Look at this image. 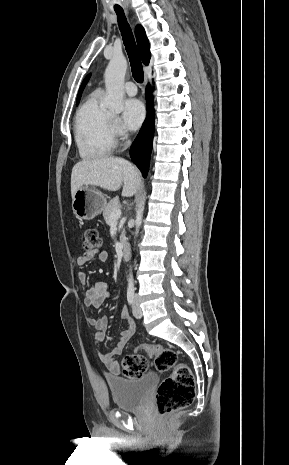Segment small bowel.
I'll list each match as a JSON object with an SVG mask.
<instances>
[{
    "label": "small bowel",
    "instance_id": "1",
    "mask_svg": "<svg viewBox=\"0 0 289 465\" xmlns=\"http://www.w3.org/2000/svg\"><path fill=\"white\" fill-rule=\"evenodd\" d=\"M94 257L100 262H106L108 259V253L106 251H91L85 252L77 260V264L80 267H84L89 261ZM78 280L81 284L85 285L87 283V274L84 271L78 273ZM109 283L104 281H97L92 287H89L85 291V304L89 307L98 308L103 302L109 297ZM122 319L128 323V327L120 332L119 339L116 342L114 348L108 353L101 354V359L105 364L108 371L117 375L120 372L119 363L116 360V357L122 353L125 346L132 338L135 333V323L129 316L126 309L122 310L121 313ZM88 323L96 329L94 338L96 343L100 344L105 340L106 331L108 329V318H94L91 317L88 319Z\"/></svg>",
    "mask_w": 289,
    "mask_h": 465
}]
</instances>
